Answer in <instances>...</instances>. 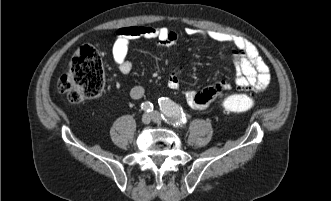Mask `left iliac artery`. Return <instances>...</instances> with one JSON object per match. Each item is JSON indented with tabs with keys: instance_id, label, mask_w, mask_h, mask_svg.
Segmentation results:
<instances>
[{
	"instance_id": "left-iliac-artery-1",
	"label": "left iliac artery",
	"mask_w": 331,
	"mask_h": 201,
	"mask_svg": "<svg viewBox=\"0 0 331 201\" xmlns=\"http://www.w3.org/2000/svg\"><path fill=\"white\" fill-rule=\"evenodd\" d=\"M160 109L162 111L163 119L172 123L176 127H180L187 122V116L183 112V109L175 104L168 98H160L158 100Z\"/></svg>"
}]
</instances>
